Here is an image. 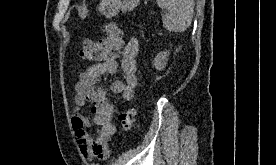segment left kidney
I'll return each mask as SVG.
<instances>
[{
  "label": "left kidney",
  "instance_id": "obj_1",
  "mask_svg": "<svg viewBox=\"0 0 276 165\" xmlns=\"http://www.w3.org/2000/svg\"><path fill=\"white\" fill-rule=\"evenodd\" d=\"M168 56H169V52L168 51H163L160 52L156 55V57L154 58L153 62H154V67L157 70H163L166 67L167 61H168Z\"/></svg>",
  "mask_w": 276,
  "mask_h": 165
}]
</instances>
